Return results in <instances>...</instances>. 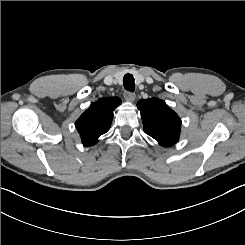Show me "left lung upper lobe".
Wrapping results in <instances>:
<instances>
[{
    "label": "left lung upper lobe",
    "mask_w": 245,
    "mask_h": 245,
    "mask_svg": "<svg viewBox=\"0 0 245 245\" xmlns=\"http://www.w3.org/2000/svg\"><path fill=\"white\" fill-rule=\"evenodd\" d=\"M137 106L146 134L164 147L172 146L179 140L181 119L163 100L142 99Z\"/></svg>",
    "instance_id": "5c2ea615"
}]
</instances>
